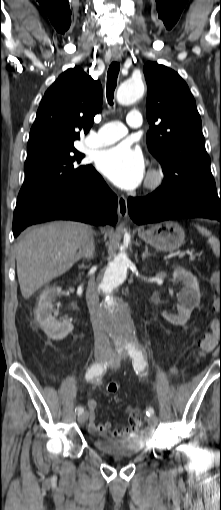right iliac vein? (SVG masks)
<instances>
[{"instance_id":"63e3f726","label":"right iliac vein","mask_w":221,"mask_h":510,"mask_svg":"<svg viewBox=\"0 0 221 510\" xmlns=\"http://www.w3.org/2000/svg\"><path fill=\"white\" fill-rule=\"evenodd\" d=\"M107 359H108V356L105 355V354H102V353L96 354V360L98 362H102V361H105ZM87 419H88V412L87 411H85V412H83V413L78 415V422L80 424L85 423L87 421Z\"/></svg>"}]
</instances>
